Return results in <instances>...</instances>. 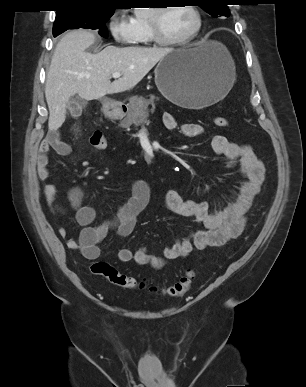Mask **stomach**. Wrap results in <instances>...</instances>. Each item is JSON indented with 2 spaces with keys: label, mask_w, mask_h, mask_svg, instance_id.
Segmentation results:
<instances>
[{
  "label": "stomach",
  "mask_w": 306,
  "mask_h": 387,
  "mask_svg": "<svg viewBox=\"0 0 306 387\" xmlns=\"http://www.w3.org/2000/svg\"><path fill=\"white\" fill-rule=\"evenodd\" d=\"M154 72L161 94L188 109H201L223 99L233 87L236 76L228 50L215 41L167 53ZM102 108L110 119L123 116L120 105L113 100L104 99Z\"/></svg>",
  "instance_id": "obj_1"
}]
</instances>
